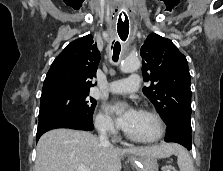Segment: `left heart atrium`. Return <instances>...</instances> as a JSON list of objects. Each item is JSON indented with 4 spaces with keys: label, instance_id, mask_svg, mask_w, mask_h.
Listing matches in <instances>:
<instances>
[{
    "label": "left heart atrium",
    "instance_id": "left-heart-atrium-1",
    "mask_svg": "<svg viewBox=\"0 0 223 171\" xmlns=\"http://www.w3.org/2000/svg\"><path fill=\"white\" fill-rule=\"evenodd\" d=\"M109 110L116 116L118 126L125 131L129 129L138 113L133 108H128L124 112H121V107L119 105H111Z\"/></svg>",
    "mask_w": 223,
    "mask_h": 171
}]
</instances>
